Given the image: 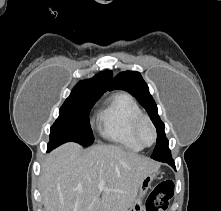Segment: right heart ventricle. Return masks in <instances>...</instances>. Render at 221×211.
Masks as SVG:
<instances>
[{"instance_id":"right-heart-ventricle-1","label":"right heart ventricle","mask_w":221,"mask_h":211,"mask_svg":"<svg viewBox=\"0 0 221 211\" xmlns=\"http://www.w3.org/2000/svg\"><path fill=\"white\" fill-rule=\"evenodd\" d=\"M140 114H142L141 108L129 93L116 92L109 97L98 113L100 134L124 148L141 151L143 146L133 133L134 121Z\"/></svg>"}]
</instances>
